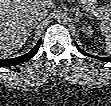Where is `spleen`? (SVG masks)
<instances>
[{
	"label": "spleen",
	"mask_w": 111,
	"mask_h": 106,
	"mask_svg": "<svg viewBox=\"0 0 111 106\" xmlns=\"http://www.w3.org/2000/svg\"><path fill=\"white\" fill-rule=\"evenodd\" d=\"M99 31L106 39V50L109 54H111V19H107L102 21L99 25Z\"/></svg>",
	"instance_id": "3e777b00"
}]
</instances>
